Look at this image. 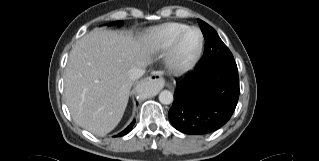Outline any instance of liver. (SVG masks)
I'll return each instance as SVG.
<instances>
[{
    "label": "liver",
    "mask_w": 319,
    "mask_h": 161,
    "mask_svg": "<svg viewBox=\"0 0 319 161\" xmlns=\"http://www.w3.org/2000/svg\"><path fill=\"white\" fill-rule=\"evenodd\" d=\"M153 45L146 38L96 29L78 40L65 70V99L73 120L104 136L120 122L133 80L129 70L151 63Z\"/></svg>",
    "instance_id": "liver-1"
}]
</instances>
